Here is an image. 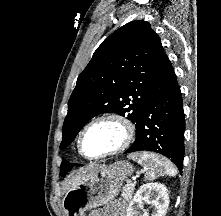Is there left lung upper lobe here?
I'll list each match as a JSON object with an SVG mask.
<instances>
[{
    "mask_svg": "<svg viewBox=\"0 0 221 216\" xmlns=\"http://www.w3.org/2000/svg\"><path fill=\"white\" fill-rule=\"evenodd\" d=\"M164 55L160 38L146 21L129 22L107 37L78 76L68 101L60 148L70 145L82 127L102 113L126 115L137 126ZM71 168L63 160L60 175Z\"/></svg>",
    "mask_w": 221,
    "mask_h": 216,
    "instance_id": "obj_1",
    "label": "left lung upper lobe"
}]
</instances>
